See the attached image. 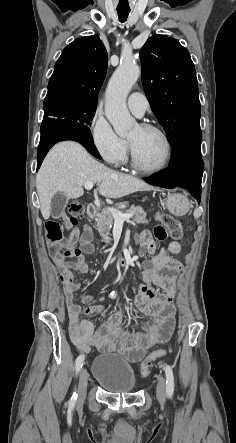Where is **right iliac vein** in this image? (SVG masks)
I'll return each mask as SVG.
<instances>
[{"instance_id": "63e3f726", "label": "right iliac vein", "mask_w": 236, "mask_h": 443, "mask_svg": "<svg viewBox=\"0 0 236 443\" xmlns=\"http://www.w3.org/2000/svg\"><path fill=\"white\" fill-rule=\"evenodd\" d=\"M88 385V373L85 368H82L79 375V383H78V395L79 398L85 396Z\"/></svg>"}]
</instances>
